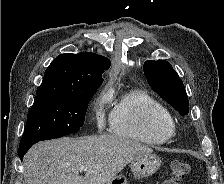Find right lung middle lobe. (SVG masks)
I'll list each match as a JSON object with an SVG mask.
<instances>
[{"instance_id": "right-lung-middle-lobe-1", "label": "right lung middle lobe", "mask_w": 224, "mask_h": 184, "mask_svg": "<svg viewBox=\"0 0 224 184\" xmlns=\"http://www.w3.org/2000/svg\"><path fill=\"white\" fill-rule=\"evenodd\" d=\"M95 92L36 93L19 146H32L80 130Z\"/></svg>"}]
</instances>
